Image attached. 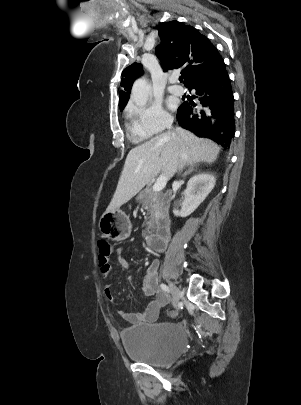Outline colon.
Instances as JSON below:
<instances>
[{
	"mask_svg": "<svg viewBox=\"0 0 301 405\" xmlns=\"http://www.w3.org/2000/svg\"><path fill=\"white\" fill-rule=\"evenodd\" d=\"M97 245H98L100 256L107 257L110 255L111 245L107 241L99 240ZM172 315L174 317H177V314H175V313H173Z\"/></svg>",
	"mask_w": 301,
	"mask_h": 405,
	"instance_id": "obj_1",
	"label": "colon"
}]
</instances>
